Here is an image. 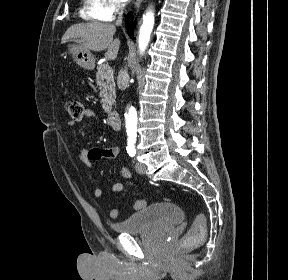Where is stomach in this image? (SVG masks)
I'll list each match as a JSON object with an SVG mask.
<instances>
[{
    "instance_id": "0dacf381",
    "label": "stomach",
    "mask_w": 288,
    "mask_h": 280,
    "mask_svg": "<svg viewBox=\"0 0 288 280\" xmlns=\"http://www.w3.org/2000/svg\"><path fill=\"white\" fill-rule=\"evenodd\" d=\"M68 51L80 67H83L84 69H93L95 58L90 50L85 49L78 43H71L68 45Z\"/></svg>"
}]
</instances>
